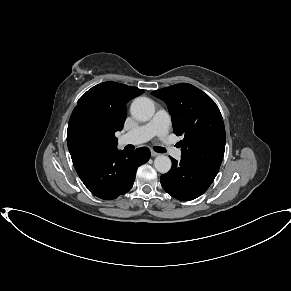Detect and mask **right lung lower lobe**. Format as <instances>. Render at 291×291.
Returning a JSON list of instances; mask_svg holds the SVG:
<instances>
[{
	"mask_svg": "<svg viewBox=\"0 0 291 291\" xmlns=\"http://www.w3.org/2000/svg\"><path fill=\"white\" fill-rule=\"evenodd\" d=\"M67 144L80 179L92 194L104 200L127 193L133 186L137 168L150 158L146 147L119 151L82 141Z\"/></svg>",
	"mask_w": 291,
	"mask_h": 291,
	"instance_id": "right-lung-lower-lobe-1",
	"label": "right lung lower lobe"
}]
</instances>
